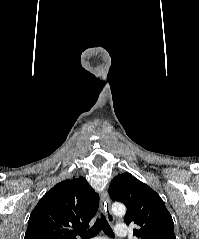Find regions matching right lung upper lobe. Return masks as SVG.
Segmentation results:
<instances>
[{
  "mask_svg": "<svg viewBox=\"0 0 199 239\" xmlns=\"http://www.w3.org/2000/svg\"><path fill=\"white\" fill-rule=\"evenodd\" d=\"M99 205L84 177L56 184L33 209L24 239H76L78 229H87Z\"/></svg>",
  "mask_w": 199,
  "mask_h": 239,
  "instance_id": "1",
  "label": "right lung upper lobe"
}]
</instances>
